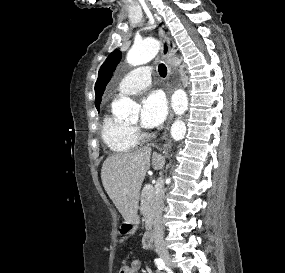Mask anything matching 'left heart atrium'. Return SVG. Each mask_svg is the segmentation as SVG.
Returning a JSON list of instances; mask_svg holds the SVG:
<instances>
[{"label":"left heart atrium","mask_w":285,"mask_h":273,"mask_svg":"<svg viewBox=\"0 0 285 273\" xmlns=\"http://www.w3.org/2000/svg\"><path fill=\"white\" fill-rule=\"evenodd\" d=\"M167 100L163 92L154 90L146 95L141 102L140 121L146 128L159 126L166 118Z\"/></svg>","instance_id":"left-heart-atrium-1"}]
</instances>
